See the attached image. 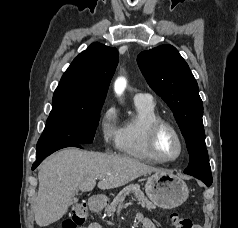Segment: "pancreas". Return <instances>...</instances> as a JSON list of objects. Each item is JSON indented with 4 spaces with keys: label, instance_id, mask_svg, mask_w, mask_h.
<instances>
[{
    "label": "pancreas",
    "instance_id": "pancreas-1",
    "mask_svg": "<svg viewBox=\"0 0 238 228\" xmlns=\"http://www.w3.org/2000/svg\"><path fill=\"white\" fill-rule=\"evenodd\" d=\"M130 193H133L136 197L139 204H141L142 207L148 209L149 211L155 209V205L152 204L147 197H145L143 191L140 189L139 184H130L123 188L119 194L114 198L111 205L106 208V214L108 217H113L114 213L116 212L118 207H121L124 203L125 197L129 195Z\"/></svg>",
    "mask_w": 238,
    "mask_h": 228
}]
</instances>
